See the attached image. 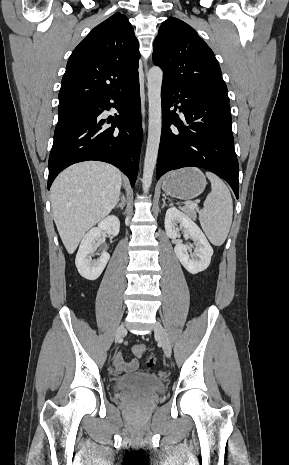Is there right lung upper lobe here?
<instances>
[{"label": "right lung upper lobe", "instance_id": "right-lung-upper-lobe-1", "mask_svg": "<svg viewBox=\"0 0 289 465\" xmlns=\"http://www.w3.org/2000/svg\"><path fill=\"white\" fill-rule=\"evenodd\" d=\"M139 45L127 17L115 13L96 26L67 62L59 105L95 101L138 77Z\"/></svg>", "mask_w": 289, "mask_h": 465}]
</instances>
